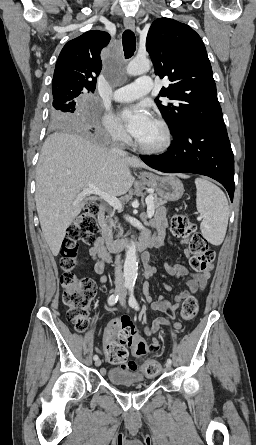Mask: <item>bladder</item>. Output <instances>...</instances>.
I'll use <instances>...</instances> for the list:
<instances>
[{
  "mask_svg": "<svg viewBox=\"0 0 256 445\" xmlns=\"http://www.w3.org/2000/svg\"><path fill=\"white\" fill-rule=\"evenodd\" d=\"M108 379L116 385H146L147 380L138 371L126 368H110L107 372Z\"/></svg>",
  "mask_w": 256,
  "mask_h": 445,
  "instance_id": "bladder-1",
  "label": "bladder"
}]
</instances>
